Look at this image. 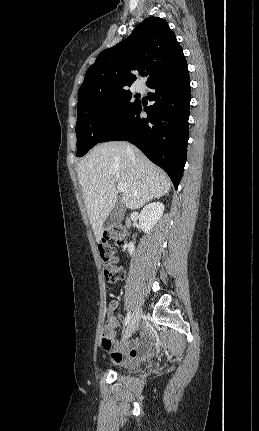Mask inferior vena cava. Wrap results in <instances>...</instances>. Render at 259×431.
Listing matches in <instances>:
<instances>
[{
    "mask_svg": "<svg viewBox=\"0 0 259 431\" xmlns=\"http://www.w3.org/2000/svg\"><path fill=\"white\" fill-rule=\"evenodd\" d=\"M127 151H128V152H131V151H132V148H131L130 146H128V147H127Z\"/></svg>",
    "mask_w": 259,
    "mask_h": 431,
    "instance_id": "obj_1",
    "label": "inferior vena cava"
}]
</instances>
